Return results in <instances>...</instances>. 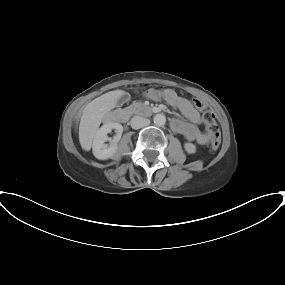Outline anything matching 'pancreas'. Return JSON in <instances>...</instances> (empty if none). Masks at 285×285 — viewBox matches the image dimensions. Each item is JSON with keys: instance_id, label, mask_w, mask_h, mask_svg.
<instances>
[{"instance_id": "1", "label": "pancreas", "mask_w": 285, "mask_h": 285, "mask_svg": "<svg viewBox=\"0 0 285 285\" xmlns=\"http://www.w3.org/2000/svg\"><path fill=\"white\" fill-rule=\"evenodd\" d=\"M126 110H131V107H128Z\"/></svg>"}]
</instances>
